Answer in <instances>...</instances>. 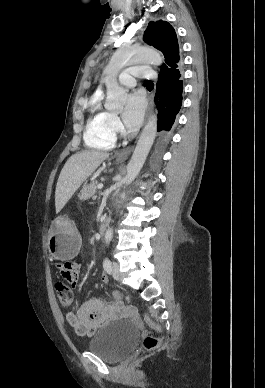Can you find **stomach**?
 Masks as SVG:
<instances>
[{
    "mask_svg": "<svg viewBox=\"0 0 265 388\" xmlns=\"http://www.w3.org/2000/svg\"><path fill=\"white\" fill-rule=\"evenodd\" d=\"M79 245L80 237L75 224L66 216L57 217L49 230L50 253L57 259L68 260L77 254Z\"/></svg>",
    "mask_w": 265,
    "mask_h": 388,
    "instance_id": "stomach-1",
    "label": "stomach"
}]
</instances>
